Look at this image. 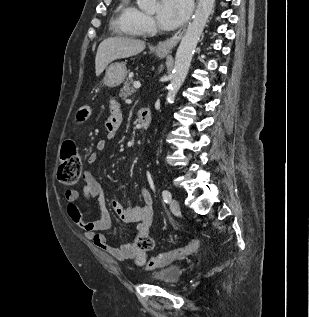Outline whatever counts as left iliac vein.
<instances>
[{
  "label": "left iliac vein",
  "mask_w": 309,
  "mask_h": 317,
  "mask_svg": "<svg viewBox=\"0 0 309 317\" xmlns=\"http://www.w3.org/2000/svg\"><path fill=\"white\" fill-rule=\"evenodd\" d=\"M170 209L174 214H178L180 212V206L176 199L170 200Z\"/></svg>",
  "instance_id": "4c4485c4"
}]
</instances>
